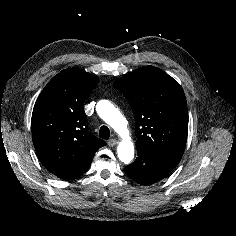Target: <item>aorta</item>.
Wrapping results in <instances>:
<instances>
[{
	"instance_id": "aorta-1",
	"label": "aorta",
	"mask_w": 236,
	"mask_h": 236,
	"mask_svg": "<svg viewBox=\"0 0 236 236\" xmlns=\"http://www.w3.org/2000/svg\"><path fill=\"white\" fill-rule=\"evenodd\" d=\"M96 111L100 118L109 124L122 138L117 146L118 158L125 164L130 163L134 158V145L129 136L125 118L108 100L99 101Z\"/></svg>"
}]
</instances>
